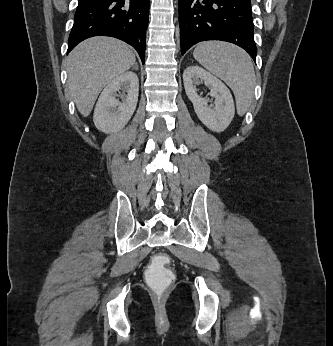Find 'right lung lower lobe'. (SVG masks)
I'll use <instances>...</instances> for the list:
<instances>
[{
    "label": "right lung lower lobe",
    "mask_w": 333,
    "mask_h": 346,
    "mask_svg": "<svg viewBox=\"0 0 333 346\" xmlns=\"http://www.w3.org/2000/svg\"><path fill=\"white\" fill-rule=\"evenodd\" d=\"M78 1L67 53L89 37L111 36L133 46L144 64L150 0Z\"/></svg>",
    "instance_id": "98d812e1"
}]
</instances>
